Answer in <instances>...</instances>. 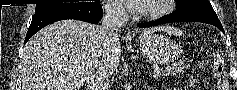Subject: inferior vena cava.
Listing matches in <instances>:
<instances>
[{
    "mask_svg": "<svg viewBox=\"0 0 237 90\" xmlns=\"http://www.w3.org/2000/svg\"><path fill=\"white\" fill-rule=\"evenodd\" d=\"M105 14L99 26L101 44L99 54L95 60L89 64L87 70L88 90H110L109 76L113 74L115 68L109 66V46L111 42L118 38L117 32H120L122 24L127 18V12L118 2H113L103 8Z\"/></svg>",
    "mask_w": 237,
    "mask_h": 90,
    "instance_id": "1",
    "label": "inferior vena cava"
}]
</instances>
